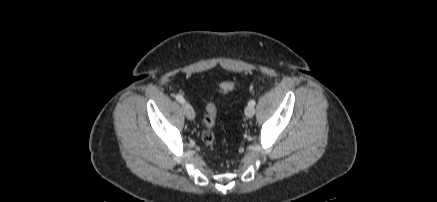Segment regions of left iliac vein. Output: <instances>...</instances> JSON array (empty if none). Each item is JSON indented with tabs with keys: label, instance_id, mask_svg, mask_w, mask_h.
I'll list each match as a JSON object with an SVG mask.
<instances>
[{
	"label": "left iliac vein",
	"instance_id": "1",
	"mask_svg": "<svg viewBox=\"0 0 437 202\" xmlns=\"http://www.w3.org/2000/svg\"><path fill=\"white\" fill-rule=\"evenodd\" d=\"M254 113H255V108H254V106H250V105H248V106L245 108V115H246L248 118H252V117L254 116Z\"/></svg>",
	"mask_w": 437,
	"mask_h": 202
}]
</instances>
